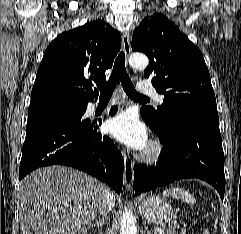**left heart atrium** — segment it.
Returning a JSON list of instances; mask_svg holds the SVG:
<instances>
[{
  "mask_svg": "<svg viewBox=\"0 0 241 234\" xmlns=\"http://www.w3.org/2000/svg\"><path fill=\"white\" fill-rule=\"evenodd\" d=\"M109 133L127 146L141 150L147 145V131L132 111H124L108 121Z\"/></svg>",
  "mask_w": 241,
  "mask_h": 234,
  "instance_id": "39dd6f15",
  "label": "left heart atrium"
}]
</instances>
